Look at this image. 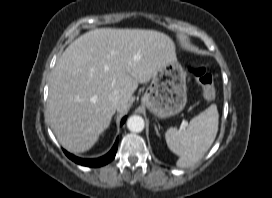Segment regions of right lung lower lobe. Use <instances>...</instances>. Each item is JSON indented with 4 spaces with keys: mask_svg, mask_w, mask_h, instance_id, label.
<instances>
[{
    "mask_svg": "<svg viewBox=\"0 0 272 198\" xmlns=\"http://www.w3.org/2000/svg\"><path fill=\"white\" fill-rule=\"evenodd\" d=\"M126 117H124L121 121V125L125 122ZM117 145H118V141H116V143L114 144L113 148L111 149V151L106 154L103 157L100 158H96V159H81L78 157H75L74 155L68 153L67 151L64 150V153L74 162H76L77 164L80 165H84V166H89V167H99V166H103L107 163H109L111 160L114 159L116 151H117Z\"/></svg>",
    "mask_w": 272,
    "mask_h": 198,
    "instance_id": "obj_1",
    "label": "right lung lower lobe"
}]
</instances>
